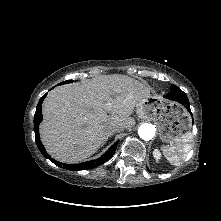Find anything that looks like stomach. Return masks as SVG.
<instances>
[{"label": "stomach", "mask_w": 221, "mask_h": 221, "mask_svg": "<svg viewBox=\"0 0 221 221\" xmlns=\"http://www.w3.org/2000/svg\"><path fill=\"white\" fill-rule=\"evenodd\" d=\"M136 112L140 118L156 123L160 139L166 143L174 144L182 139L191 127V119L185 109L158 95H148L140 100Z\"/></svg>", "instance_id": "stomach-1"}]
</instances>
